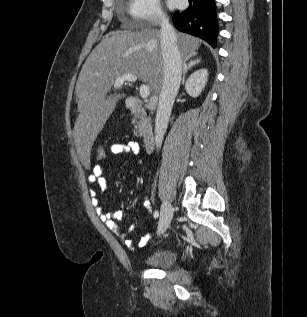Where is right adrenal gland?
<instances>
[{"label": "right adrenal gland", "mask_w": 307, "mask_h": 317, "mask_svg": "<svg viewBox=\"0 0 307 317\" xmlns=\"http://www.w3.org/2000/svg\"><path fill=\"white\" fill-rule=\"evenodd\" d=\"M189 59V58H188ZM188 59H185L183 61V77H182V84L185 82V76L188 70H190L193 66L199 64L201 62V59H196V60H191L188 64L187 61Z\"/></svg>", "instance_id": "right-adrenal-gland-1"}]
</instances>
